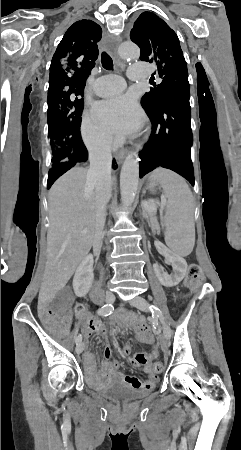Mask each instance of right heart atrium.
Wrapping results in <instances>:
<instances>
[{
	"label": "right heart atrium",
	"instance_id": "1",
	"mask_svg": "<svg viewBox=\"0 0 241 450\" xmlns=\"http://www.w3.org/2000/svg\"><path fill=\"white\" fill-rule=\"evenodd\" d=\"M81 133L85 144L90 148L91 155L110 154V149L113 144L112 137L98 127L87 114L82 119Z\"/></svg>",
	"mask_w": 241,
	"mask_h": 450
}]
</instances>
